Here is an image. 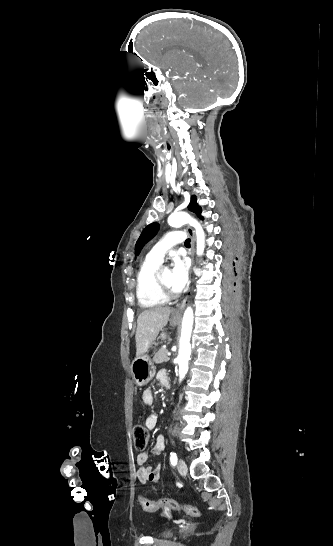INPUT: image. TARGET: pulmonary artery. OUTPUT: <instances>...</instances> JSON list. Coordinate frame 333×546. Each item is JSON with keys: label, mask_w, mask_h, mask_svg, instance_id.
I'll return each instance as SVG.
<instances>
[{"label": "pulmonary artery", "mask_w": 333, "mask_h": 546, "mask_svg": "<svg viewBox=\"0 0 333 546\" xmlns=\"http://www.w3.org/2000/svg\"><path fill=\"white\" fill-rule=\"evenodd\" d=\"M185 241V233L183 231H170L166 233L160 241L150 250L147 258L162 262L165 254L174 245Z\"/></svg>", "instance_id": "e3ab8cb5"}]
</instances>
